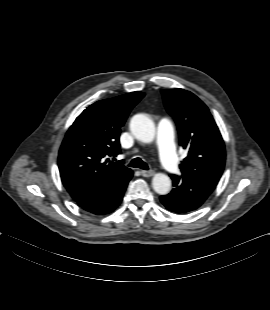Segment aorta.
Wrapping results in <instances>:
<instances>
[{
	"label": "aorta",
	"mask_w": 270,
	"mask_h": 310,
	"mask_svg": "<svg viewBox=\"0 0 270 310\" xmlns=\"http://www.w3.org/2000/svg\"><path fill=\"white\" fill-rule=\"evenodd\" d=\"M130 130L140 141L150 143L155 137V124L145 114H136L131 118ZM152 187L159 195H166L171 190V180L163 173H156L152 179Z\"/></svg>",
	"instance_id": "obj_1"
}]
</instances>
